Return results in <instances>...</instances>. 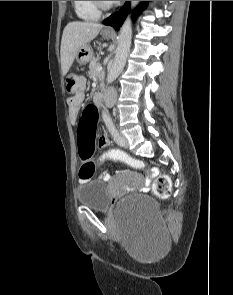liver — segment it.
Listing matches in <instances>:
<instances>
[{"label":"liver","mask_w":233,"mask_h":295,"mask_svg":"<svg viewBox=\"0 0 233 295\" xmlns=\"http://www.w3.org/2000/svg\"><path fill=\"white\" fill-rule=\"evenodd\" d=\"M103 28L94 22L74 21L66 25L61 40V69L66 75L73 64L79 48L93 40Z\"/></svg>","instance_id":"1"}]
</instances>
